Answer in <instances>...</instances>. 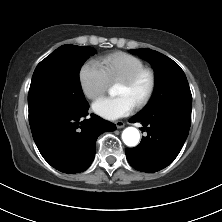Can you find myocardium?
<instances>
[{
  "label": "myocardium",
  "instance_id": "myocardium-1",
  "mask_svg": "<svg viewBox=\"0 0 222 222\" xmlns=\"http://www.w3.org/2000/svg\"><path fill=\"white\" fill-rule=\"evenodd\" d=\"M143 77H146L148 79V88L145 94L136 103L137 108H143L144 106H146L151 101L155 93L156 86H157V78H156V74L154 70L148 67H143L141 69H138L137 71H135L128 77L123 78L119 81L120 83L126 86L133 87Z\"/></svg>",
  "mask_w": 222,
  "mask_h": 222
}]
</instances>
